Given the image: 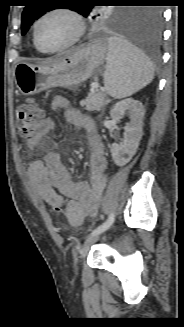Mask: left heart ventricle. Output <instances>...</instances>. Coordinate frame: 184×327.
<instances>
[{
	"instance_id": "left-heart-ventricle-1",
	"label": "left heart ventricle",
	"mask_w": 184,
	"mask_h": 327,
	"mask_svg": "<svg viewBox=\"0 0 184 327\" xmlns=\"http://www.w3.org/2000/svg\"><path fill=\"white\" fill-rule=\"evenodd\" d=\"M76 31L73 20L64 14H52L38 26L37 37L45 48H56L69 42Z\"/></svg>"
}]
</instances>
